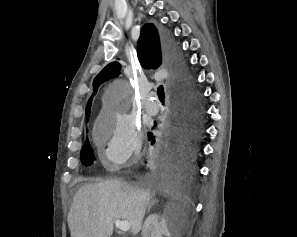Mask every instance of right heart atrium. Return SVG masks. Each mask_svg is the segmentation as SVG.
Here are the masks:
<instances>
[{
	"label": "right heart atrium",
	"instance_id": "right-heart-atrium-1",
	"mask_svg": "<svg viewBox=\"0 0 297 237\" xmlns=\"http://www.w3.org/2000/svg\"><path fill=\"white\" fill-rule=\"evenodd\" d=\"M95 139L104 146L106 165L118 169L141 154V133L136 120L120 109H106L95 125Z\"/></svg>",
	"mask_w": 297,
	"mask_h": 237
}]
</instances>
